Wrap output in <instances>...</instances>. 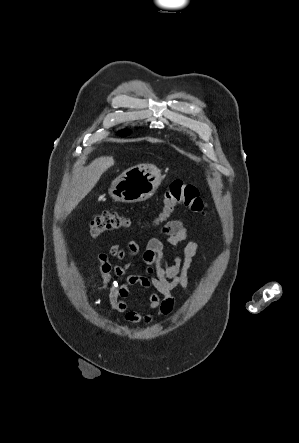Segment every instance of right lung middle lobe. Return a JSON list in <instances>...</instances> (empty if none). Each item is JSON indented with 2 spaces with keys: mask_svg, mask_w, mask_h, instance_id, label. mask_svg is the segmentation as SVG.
I'll return each mask as SVG.
<instances>
[{
  "mask_svg": "<svg viewBox=\"0 0 299 443\" xmlns=\"http://www.w3.org/2000/svg\"><path fill=\"white\" fill-rule=\"evenodd\" d=\"M119 134L122 135V136H124V135L127 134V132H126L125 130H123V131L119 132Z\"/></svg>",
  "mask_w": 299,
  "mask_h": 443,
  "instance_id": "right-lung-middle-lobe-1",
  "label": "right lung middle lobe"
}]
</instances>
